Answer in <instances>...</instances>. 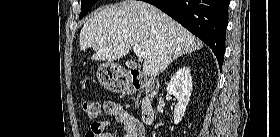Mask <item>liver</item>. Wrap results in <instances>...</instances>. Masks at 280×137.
<instances>
[{
	"mask_svg": "<svg viewBox=\"0 0 280 137\" xmlns=\"http://www.w3.org/2000/svg\"><path fill=\"white\" fill-rule=\"evenodd\" d=\"M80 50L93 49V60L112 62L138 44L147 54L143 73L156 77L179 56L200 50L202 42L155 6L129 0L95 13L80 32Z\"/></svg>",
	"mask_w": 280,
	"mask_h": 137,
	"instance_id": "liver-1",
	"label": "liver"
}]
</instances>
